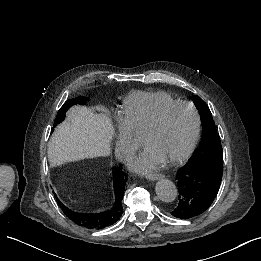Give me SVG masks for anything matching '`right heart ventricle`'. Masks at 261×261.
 Wrapping results in <instances>:
<instances>
[{
    "label": "right heart ventricle",
    "mask_w": 261,
    "mask_h": 261,
    "mask_svg": "<svg viewBox=\"0 0 261 261\" xmlns=\"http://www.w3.org/2000/svg\"><path fill=\"white\" fill-rule=\"evenodd\" d=\"M172 101H176V98L164 90L135 91L121 100V114L128 120L138 121L142 116L149 115ZM132 148L130 145L128 150L131 151Z\"/></svg>",
    "instance_id": "right-heart-ventricle-1"
}]
</instances>
